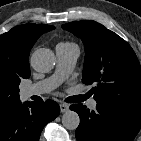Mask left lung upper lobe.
Segmentation results:
<instances>
[{
  "label": "left lung upper lobe",
  "mask_w": 141,
  "mask_h": 141,
  "mask_svg": "<svg viewBox=\"0 0 141 141\" xmlns=\"http://www.w3.org/2000/svg\"><path fill=\"white\" fill-rule=\"evenodd\" d=\"M62 28L85 45L82 81L97 85L92 89L96 102L141 113V67L130 45L95 21H75Z\"/></svg>",
  "instance_id": "obj_1"
}]
</instances>
